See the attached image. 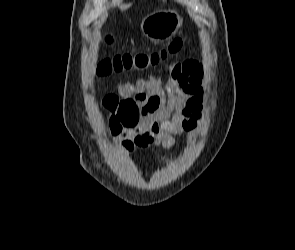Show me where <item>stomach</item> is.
<instances>
[{"mask_svg":"<svg viewBox=\"0 0 295 250\" xmlns=\"http://www.w3.org/2000/svg\"><path fill=\"white\" fill-rule=\"evenodd\" d=\"M182 24V19L174 10H161L148 15L141 24L142 32L157 40L173 36Z\"/></svg>","mask_w":295,"mask_h":250,"instance_id":"obj_1","label":"stomach"}]
</instances>
